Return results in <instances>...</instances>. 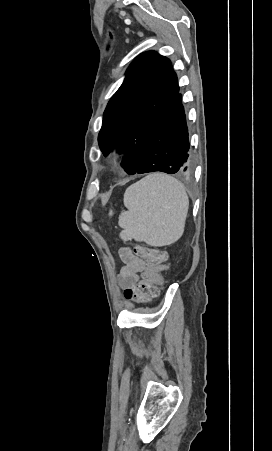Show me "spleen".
Returning a JSON list of instances; mask_svg holds the SVG:
<instances>
[{
    "instance_id": "obj_1",
    "label": "spleen",
    "mask_w": 272,
    "mask_h": 451,
    "mask_svg": "<svg viewBox=\"0 0 272 451\" xmlns=\"http://www.w3.org/2000/svg\"><path fill=\"white\" fill-rule=\"evenodd\" d=\"M119 216V235L123 241L135 239L148 245H170L181 237L188 212L186 190L167 174H149L127 188Z\"/></svg>"
}]
</instances>
